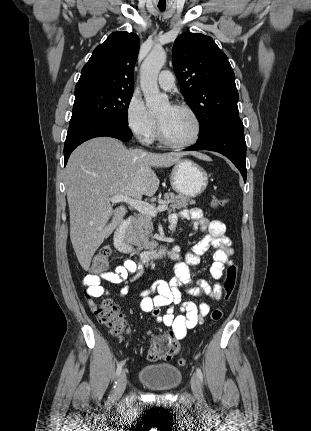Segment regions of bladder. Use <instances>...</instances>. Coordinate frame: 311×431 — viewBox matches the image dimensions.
Returning <instances> with one entry per match:
<instances>
[{"mask_svg": "<svg viewBox=\"0 0 311 431\" xmlns=\"http://www.w3.org/2000/svg\"><path fill=\"white\" fill-rule=\"evenodd\" d=\"M138 380L151 390L167 392L179 386L182 380V373L173 364H149L139 370Z\"/></svg>", "mask_w": 311, "mask_h": 431, "instance_id": "obj_1", "label": "bladder"}]
</instances>
